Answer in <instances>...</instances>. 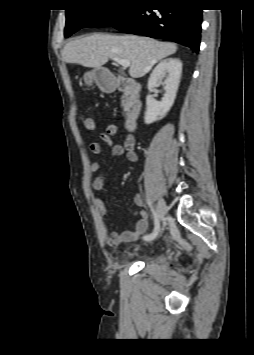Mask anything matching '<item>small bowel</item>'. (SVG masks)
<instances>
[{
    "label": "small bowel",
    "mask_w": 254,
    "mask_h": 355,
    "mask_svg": "<svg viewBox=\"0 0 254 355\" xmlns=\"http://www.w3.org/2000/svg\"><path fill=\"white\" fill-rule=\"evenodd\" d=\"M119 135V129L116 125H109L106 130L101 133V141L109 147V154L111 157H118L125 155L126 158L131 161H137V154L135 152V139L131 134H124L123 144H114L113 137ZM90 150L94 154H100L102 152V146L99 142L93 141L90 143ZM101 168L100 162H94L91 165V171L97 173ZM92 187L95 191H101L104 189V178L102 176H97L92 182ZM94 204L102 217L107 216L108 208L105 205L102 198L95 195ZM134 203L138 207L144 206V200L140 194L134 196ZM134 216L138 218L134 231L125 230L122 232H111L109 234V242L112 245H119L122 243L133 242L141 234L146 233L149 227L148 214L144 210H139L134 213Z\"/></svg>",
    "instance_id": "c3829d8e"
}]
</instances>
